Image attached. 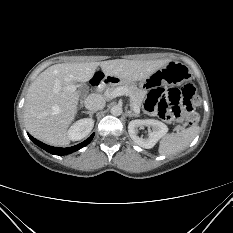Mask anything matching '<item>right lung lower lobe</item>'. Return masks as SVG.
I'll return each instance as SVG.
<instances>
[{"label": "right lung lower lobe", "mask_w": 233, "mask_h": 233, "mask_svg": "<svg viewBox=\"0 0 233 233\" xmlns=\"http://www.w3.org/2000/svg\"><path fill=\"white\" fill-rule=\"evenodd\" d=\"M28 136L36 145H38L39 147H41L42 149L46 150L47 152H49L51 154L67 155V154L75 152V151L81 149L82 147L88 145L91 142V140L93 139L94 133L84 142H82L76 146L68 147V148L52 147V146L46 145V144L40 142L39 140L33 138L30 134H28Z\"/></svg>", "instance_id": "98d812e1"}]
</instances>
